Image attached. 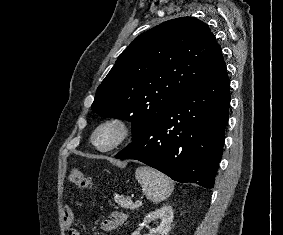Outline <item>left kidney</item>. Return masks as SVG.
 <instances>
[{"mask_svg": "<svg viewBox=\"0 0 283 235\" xmlns=\"http://www.w3.org/2000/svg\"><path fill=\"white\" fill-rule=\"evenodd\" d=\"M158 220H160V224L157 225L156 228H153L150 234L147 235H167L170 230L171 223L173 221L172 207L166 205L146 215L141 226L137 230H135L132 235H141L140 230L143 226H146L151 221H155L156 223H158Z\"/></svg>", "mask_w": 283, "mask_h": 235, "instance_id": "obj_1", "label": "left kidney"}]
</instances>
